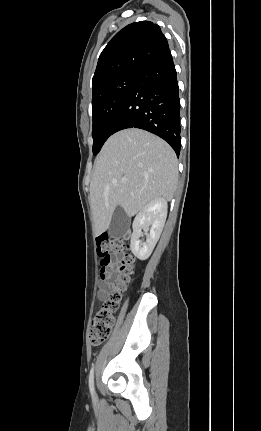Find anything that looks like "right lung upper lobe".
<instances>
[{"instance_id": "right-lung-upper-lobe-1", "label": "right lung upper lobe", "mask_w": 261, "mask_h": 431, "mask_svg": "<svg viewBox=\"0 0 261 431\" xmlns=\"http://www.w3.org/2000/svg\"><path fill=\"white\" fill-rule=\"evenodd\" d=\"M169 49L160 27L150 21L127 25L107 44L99 56L92 89L128 72L140 70Z\"/></svg>"}]
</instances>
